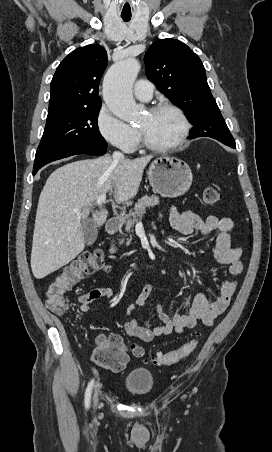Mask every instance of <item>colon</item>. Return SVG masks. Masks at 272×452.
<instances>
[{"instance_id":"5ec220e1","label":"colon","mask_w":272,"mask_h":452,"mask_svg":"<svg viewBox=\"0 0 272 452\" xmlns=\"http://www.w3.org/2000/svg\"><path fill=\"white\" fill-rule=\"evenodd\" d=\"M202 200L206 207H214L222 201V194L216 186L208 185L203 189ZM96 270H109L101 252L86 253L71 262L46 288V306L57 315L66 313L69 310V306L63 297L66 290L84 276ZM197 347L198 340L192 339L177 350L158 353L153 358V363L156 365L175 364L189 357ZM130 351L136 357L144 354L143 347L137 343L131 344ZM93 360L104 369L118 371L124 368L128 360V354L119 338L104 337L97 341Z\"/></svg>"}]
</instances>
